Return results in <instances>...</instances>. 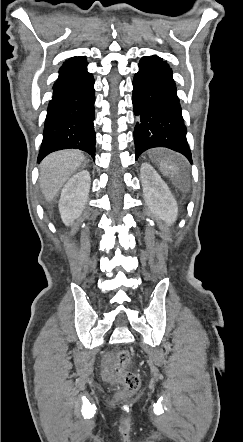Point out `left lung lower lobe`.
Returning <instances> with one entry per match:
<instances>
[{
  "mask_svg": "<svg viewBox=\"0 0 243 442\" xmlns=\"http://www.w3.org/2000/svg\"><path fill=\"white\" fill-rule=\"evenodd\" d=\"M132 102L138 116L134 129L136 160L147 149L166 147L192 163L172 70L162 58L153 55L140 60Z\"/></svg>",
  "mask_w": 243,
  "mask_h": 442,
  "instance_id": "obj_1",
  "label": "left lung lower lobe"
}]
</instances>
